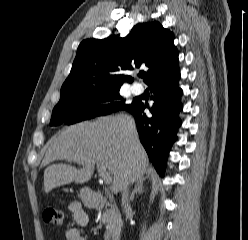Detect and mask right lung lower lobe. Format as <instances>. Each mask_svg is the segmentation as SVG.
Returning <instances> with one entry per match:
<instances>
[{"label": "right lung lower lobe", "mask_w": 248, "mask_h": 240, "mask_svg": "<svg viewBox=\"0 0 248 240\" xmlns=\"http://www.w3.org/2000/svg\"><path fill=\"white\" fill-rule=\"evenodd\" d=\"M179 69L165 79L149 85L154 101L152 107L141 101L133 102L126 109L134 116L140 141L156 171L163 176L167 155L177 140L176 132L181 125L178 114L182 109L180 97L182 89L178 86ZM148 107L151 116H146L144 109Z\"/></svg>", "instance_id": "98d812e1"}]
</instances>
